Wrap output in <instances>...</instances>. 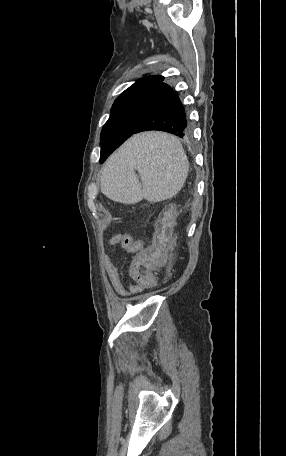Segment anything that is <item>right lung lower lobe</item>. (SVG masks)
<instances>
[{"mask_svg":"<svg viewBox=\"0 0 286 456\" xmlns=\"http://www.w3.org/2000/svg\"><path fill=\"white\" fill-rule=\"evenodd\" d=\"M121 100L130 136L145 130H162L184 138L190 131L178 95L162 81L134 90Z\"/></svg>","mask_w":286,"mask_h":456,"instance_id":"obj_1","label":"right lung lower lobe"}]
</instances>
